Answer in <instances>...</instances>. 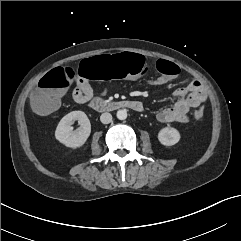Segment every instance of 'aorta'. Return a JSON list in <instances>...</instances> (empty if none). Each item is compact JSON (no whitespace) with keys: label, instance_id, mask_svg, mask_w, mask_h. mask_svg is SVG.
I'll list each match as a JSON object with an SVG mask.
<instances>
[{"label":"aorta","instance_id":"1","mask_svg":"<svg viewBox=\"0 0 241 241\" xmlns=\"http://www.w3.org/2000/svg\"><path fill=\"white\" fill-rule=\"evenodd\" d=\"M116 115L119 120H125L127 118V111L125 109L118 110Z\"/></svg>","mask_w":241,"mask_h":241}]
</instances>
